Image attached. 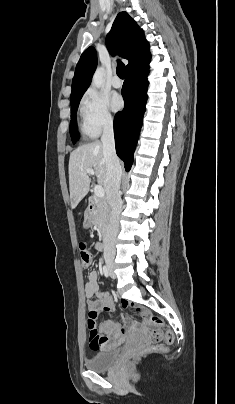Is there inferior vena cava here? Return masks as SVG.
<instances>
[{
  "instance_id": "602c4592",
  "label": "inferior vena cava",
  "mask_w": 235,
  "mask_h": 404,
  "mask_svg": "<svg viewBox=\"0 0 235 404\" xmlns=\"http://www.w3.org/2000/svg\"><path fill=\"white\" fill-rule=\"evenodd\" d=\"M101 142L103 145V155L107 168L105 180L106 198L110 207L109 224L104 237V253L113 256L115 254V240L118 232L119 217L122 208L120 196L122 168L115 150L112 119H107L103 125Z\"/></svg>"
}]
</instances>
